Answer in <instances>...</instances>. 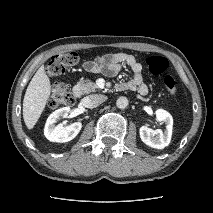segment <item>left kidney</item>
<instances>
[{
	"label": "left kidney",
	"mask_w": 213,
	"mask_h": 213,
	"mask_svg": "<svg viewBox=\"0 0 213 213\" xmlns=\"http://www.w3.org/2000/svg\"><path fill=\"white\" fill-rule=\"evenodd\" d=\"M156 119L159 122L166 124V131L161 129H150L147 126H142L139 130L141 140L148 146L156 149H164L169 145L172 136L173 118L166 110H156Z\"/></svg>",
	"instance_id": "1"
}]
</instances>
